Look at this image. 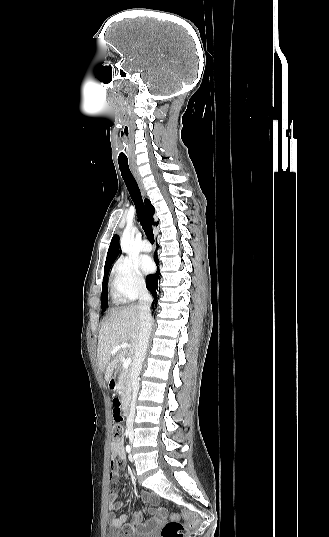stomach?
<instances>
[{"label": "stomach", "mask_w": 329, "mask_h": 537, "mask_svg": "<svg viewBox=\"0 0 329 537\" xmlns=\"http://www.w3.org/2000/svg\"><path fill=\"white\" fill-rule=\"evenodd\" d=\"M109 382H111V381H109ZM109 384H110V383H109ZM112 387H113V390H115V389L117 388V385H114V386H112Z\"/></svg>", "instance_id": "obj_1"}]
</instances>
